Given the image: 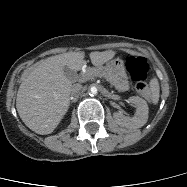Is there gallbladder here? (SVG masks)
<instances>
[{"instance_id": "gallbladder-1", "label": "gallbladder", "mask_w": 187, "mask_h": 187, "mask_svg": "<svg viewBox=\"0 0 187 187\" xmlns=\"http://www.w3.org/2000/svg\"><path fill=\"white\" fill-rule=\"evenodd\" d=\"M64 73L68 78H72L74 75V72L70 70L68 67H64Z\"/></svg>"}]
</instances>
